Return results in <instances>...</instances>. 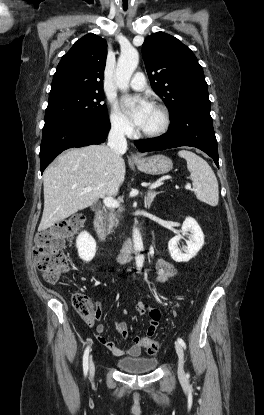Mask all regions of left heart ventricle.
Here are the masks:
<instances>
[{"label": "left heart ventricle", "mask_w": 264, "mask_h": 415, "mask_svg": "<svg viewBox=\"0 0 264 415\" xmlns=\"http://www.w3.org/2000/svg\"><path fill=\"white\" fill-rule=\"evenodd\" d=\"M161 113L158 109L151 107L148 115L146 116L142 126L139 128L140 131H154L161 124Z\"/></svg>", "instance_id": "1"}]
</instances>
